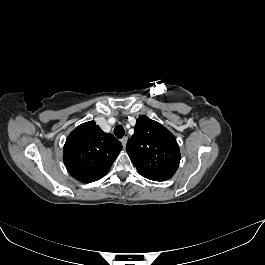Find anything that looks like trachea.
Returning a JSON list of instances; mask_svg holds the SVG:
<instances>
[{"instance_id": "3493384b", "label": "trachea", "mask_w": 265, "mask_h": 265, "mask_svg": "<svg viewBox=\"0 0 265 265\" xmlns=\"http://www.w3.org/2000/svg\"><path fill=\"white\" fill-rule=\"evenodd\" d=\"M114 134L117 138H122L125 134V130L121 125H117L114 129Z\"/></svg>"}]
</instances>
